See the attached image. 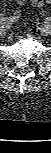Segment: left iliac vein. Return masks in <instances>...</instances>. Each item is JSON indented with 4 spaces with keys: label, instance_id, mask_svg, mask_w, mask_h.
Here are the masks:
<instances>
[{
    "label": "left iliac vein",
    "instance_id": "4c4485c4",
    "mask_svg": "<svg viewBox=\"0 0 51 153\" xmlns=\"http://www.w3.org/2000/svg\"><path fill=\"white\" fill-rule=\"evenodd\" d=\"M41 32L44 34L49 35L51 33V27L50 25H44L40 28Z\"/></svg>",
    "mask_w": 51,
    "mask_h": 153
}]
</instances>
